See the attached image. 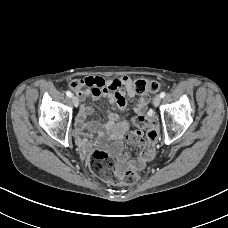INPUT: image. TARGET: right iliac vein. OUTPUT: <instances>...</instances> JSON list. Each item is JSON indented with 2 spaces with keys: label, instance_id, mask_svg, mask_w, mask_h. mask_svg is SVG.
<instances>
[{
  "label": "right iliac vein",
  "instance_id": "right-iliac-vein-1",
  "mask_svg": "<svg viewBox=\"0 0 228 228\" xmlns=\"http://www.w3.org/2000/svg\"><path fill=\"white\" fill-rule=\"evenodd\" d=\"M72 103H73V105H74L75 107H78V105H79V100H78V98L75 97V96H73V97H72Z\"/></svg>",
  "mask_w": 228,
  "mask_h": 228
}]
</instances>
